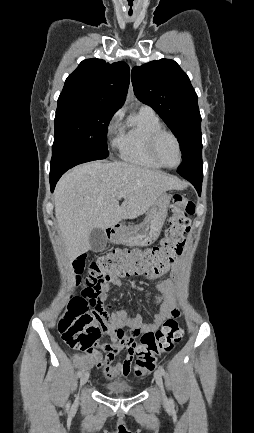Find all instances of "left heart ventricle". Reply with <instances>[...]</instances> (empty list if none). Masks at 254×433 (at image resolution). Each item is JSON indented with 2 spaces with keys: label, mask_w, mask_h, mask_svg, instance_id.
Masks as SVG:
<instances>
[{
  "label": "left heart ventricle",
  "mask_w": 254,
  "mask_h": 433,
  "mask_svg": "<svg viewBox=\"0 0 254 433\" xmlns=\"http://www.w3.org/2000/svg\"><path fill=\"white\" fill-rule=\"evenodd\" d=\"M157 155L167 166H174L178 162V150L175 141L169 135H162L157 143Z\"/></svg>",
  "instance_id": "left-heart-ventricle-1"
}]
</instances>
